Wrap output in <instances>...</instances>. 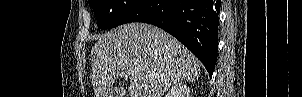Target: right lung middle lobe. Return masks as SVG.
Here are the masks:
<instances>
[{
	"label": "right lung middle lobe",
	"mask_w": 302,
	"mask_h": 97,
	"mask_svg": "<svg viewBox=\"0 0 302 97\" xmlns=\"http://www.w3.org/2000/svg\"><path fill=\"white\" fill-rule=\"evenodd\" d=\"M93 9L98 29L116 27L142 0H89Z\"/></svg>",
	"instance_id": "obj_1"
}]
</instances>
